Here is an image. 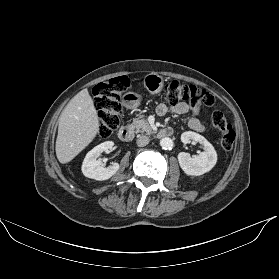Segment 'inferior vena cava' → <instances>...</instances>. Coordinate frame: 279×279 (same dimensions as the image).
Segmentation results:
<instances>
[{
	"label": "inferior vena cava",
	"mask_w": 279,
	"mask_h": 279,
	"mask_svg": "<svg viewBox=\"0 0 279 279\" xmlns=\"http://www.w3.org/2000/svg\"><path fill=\"white\" fill-rule=\"evenodd\" d=\"M149 141H150V139H149L148 136H146V135H138L136 143H137V146L144 147L147 144H149Z\"/></svg>",
	"instance_id": "1"
}]
</instances>
